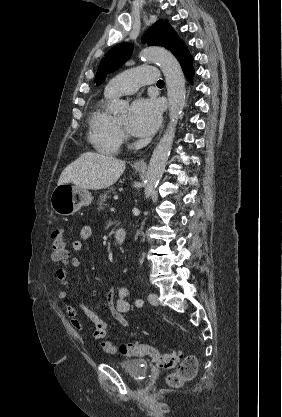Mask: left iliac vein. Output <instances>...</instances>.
<instances>
[{
    "label": "left iliac vein",
    "mask_w": 282,
    "mask_h": 417,
    "mask_svg": "<svg viewBox=\"0 0 282 417\" xmlns=\"http://www.w3.org/2000/svg\"><path fill=\"white\" fill-rule=\"evenodd\" d=\"M148 301L153 306H158L159 305L158 296L155 293H150L148 295Z\"/></svg>",
    "instance_id": "left-iliac-vein-1"
}]
</instances>
